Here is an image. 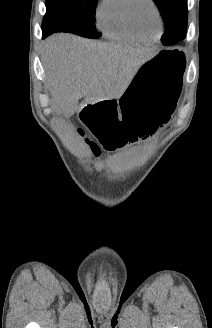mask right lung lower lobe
<instances>
[{"label":"right lung lower lobe","instance_id":"1","mask_svg":"<svg viewBox=\"0 0 212 328\" xmlns=\"http://www.w3.org/2000/svg\"><path fill=\"white\" fill-rule=\"evenodd\" d=\"M42 32H43V37L48 36L46 31L42 30Z\"/></svg>","mask_w":212,"mask_h":328}]
</instances>
